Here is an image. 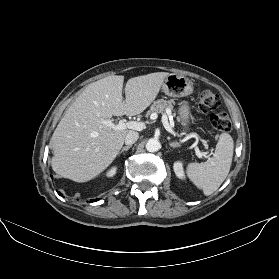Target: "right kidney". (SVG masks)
<instances>
[{
	"label": "right kidney",
	"instance_id": "ca27d5eb",
	"mask_svg": "<svg viewBox=\"0 0 279 279\" xmlns=\"http://www.w3.org/2000/svg\"><path fill=\"white\" fill-rule=\"evenodd\" d=\"M117 168L112 167L110 170L107 171L106 176L107 177H113L116 174Z\"/></svg>",
	"mask_w": 279,
	"mask_h": 279
}]
</instances>
